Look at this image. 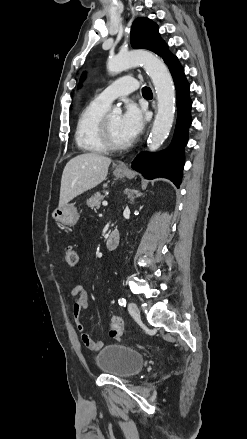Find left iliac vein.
I'll return each instance as SVG.
<instances>
[{
	"mask_svg": "<svg viewBox=\"0 0 247 439\" xmlns=\"http://www.w3.org/2000/svg\"><path fill=\"white\" fill-rule=\"evenodd\" d=\"M128 311H129L130 315L134 319H139L140 318V311H139L137 305L134 302H129L128 303Z\"/></svg>",
	"mask_w": 247,
	"mask_h": 439,
	"instance_id": "1",
	"label": "left iliac vein"
}]
</instances>
